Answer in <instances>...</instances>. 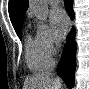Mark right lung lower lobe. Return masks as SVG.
<instances>
[{
  "label": "right lung lower lobe",
  "mask_w": 89,
  "mask_h": 89,
  "mask_svg": "<svg viewBox=\"0 0 89 89\" xmlns=\"http://www.w3.org/2000/svg\"><path fill=\"white\" fill-rule=\"evenodd\" d=\"M66 10L73 18L74 13L72 10V0H64ZM76 44H75V30L72 29L67 38V42L64 46L62 57L58 63L57 73L63 79L65 84L71 88L74 85V71L76 66Z\"/></svg>",
  "instance_id": "obj_1"
}]
</instances>
